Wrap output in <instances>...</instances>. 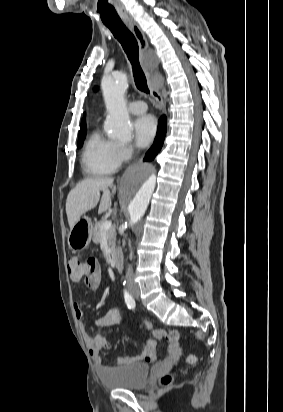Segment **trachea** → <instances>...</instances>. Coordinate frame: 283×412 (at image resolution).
I'll use <instances>...</instances> for the list:
<instances>
[{
    "label": "trachea",
    "mask_w": 283,
    "mask_h": 412,
    "mask_svg": "<svg viewBox=\"0 0 283 412\" xmlns=\"http://www.w3.org/2000/svg\"><path fill=\"white\" fill-rule=\"evenodd\" d=\"M106 26L111 30L115 38L121 43L132 65L136 87L145 93H149L147 80L139 62V46L135 36L123 22L109 23Z\"/></svg>",
    "instance_id": "1"
}]
</instances>
